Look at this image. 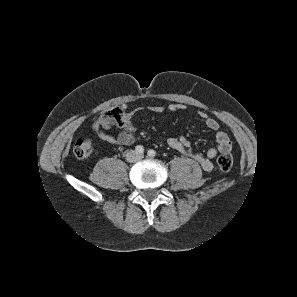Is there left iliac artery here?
<instances>
[{
    "label": "left iliac artery",
    "instance_id": "44dca946",
    "mask_svg": "<svg viewBox=\"0 0 297 297\" xmlns=\"http://www.w3.org/2000/svg\"><path fill=\"white\" fill-rule=\"evenodd\" d=\"M148 156L149 157H154L156 155V151L153 150V149H150L148 152H147Z\"/></svg>",
    "mask_w": 297,
    "mask_h": 297
}]
</instances>
